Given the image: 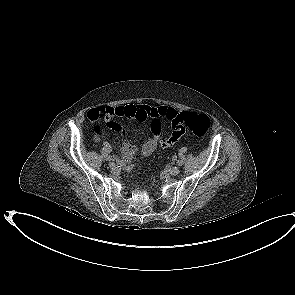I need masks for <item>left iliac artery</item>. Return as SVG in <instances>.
Wrapping results in <instances>:
<instances>
[{
  "mask_svg": "<svg viewBox=\"0 0 295 295\" xmlns=\"http://www.w3.org/2000/svg\"><path fill=\"white\" fill-rule=\"evenodd\" d=\"M177 164L180 166L182 164V161H178Z\"/></svg>",
  "mask_w": 295,
  "mask_h": 295,
  "instance_id": "left-iliac-artery-1",
  "label": "left iliac artery"
}]
</instances>
